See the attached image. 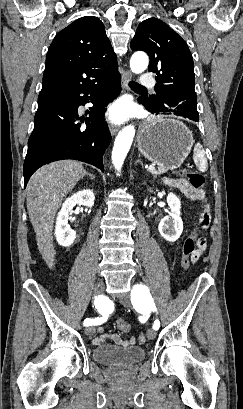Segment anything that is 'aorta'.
Listing matches in <instances>:
<instances>
[{"mask_svg":"<svg viewBox=\"0 0 243 409\" xmlns=\"http://www.w3.org/2000/svg\"><path fill=\"white\" fill-rule=\"evenodd\" d=\"M148 56L143 52L133 54L130 60L131 71L135 74L142 73L148 67ZM135 136V128L133 125H128L123 128L117 135L112 151V163L115 169L120 172L124 160L129 152Z\"/></svg>","mask_w":243,"mask_h":409,"instance_id":"762f6f07","label":"aorta"}]
</instances>
